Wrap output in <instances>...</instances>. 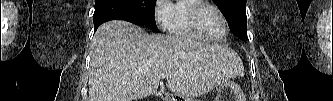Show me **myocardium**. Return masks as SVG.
Listing matches in <instances>:
<instances>
[{
    "mask_svg": "<svg viewBox=\"0 0 333 101\" xmlns=\"http://www.w3.org/2000/svg\"><path fill=\"white\" fill-rule=\"evenodd\" d=\"M211 8L213 9L215 12H217V14L220 16V18L222 19L223 25H224V34L220 37V38H211L209 36H207L204 31L202 30L201 26H200V22H199V14L200 11L205 8ZM189 22L190 25L192 27V29L203 39H206L208 41H212V42H220L223 41L228 33H229V25L227 22V19L225 17V15L223 14V12L215 5L209 3V2H204V1H198L197 3L193 4L189 10Z\"/></svg>",
    "mask_w": 333,
    "mask_h": 101,
    "instance_id": "myocardium-1",
    "label": "myocardium"
}]
</instances>
